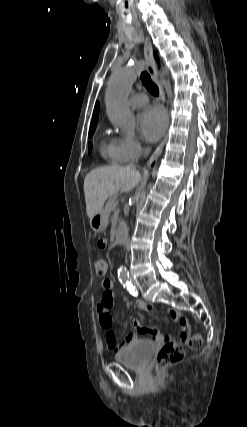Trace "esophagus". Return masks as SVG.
Segmentation results:
<instances>
[{"label": "esophagus", "instance_id": "obj_1", "mask_svg": "<svg viewBox=\"0 0 247 427\" xmlns=\"http://www.w3.org/2000/svg\"><path fill=\"white\" fill-rule=\"evenodd\" d=\"M142 40H143V54H144L146 69H147L148 73L150 74L151 78L153 79V81L155 83H157V85L159 86L160 98H161L162 102L165 103L166 102V94H165L163 85L158 81V73H157V70L155 67L151 45H150L147 37L143 36ZM166 140H167V136L164 137V139L162 140L160 145L157 147V149L150 156V158L146 162V165L149 166L154 160H156L158 158V156L162 152V149L164 147Z\"/></svg>", "mask_w": 247, "mask_h": 427}]
</instances>
